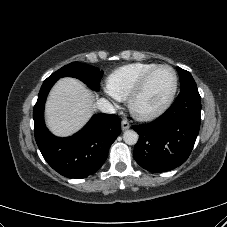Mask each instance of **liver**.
I'll return each mask as SVG.
<instances>
[{
    "label": "liver",
    "instance_id": "6515ba94",
    "mask_svg": "<svg viewBox=\"0 0 227 227\" xmlns=\"http://www.w3.org/2000/svg\"><path fill=\"white\" fill-rule=\"evenodd\" d=\"M95 96L74 78H62L52 88L45 107L46 124L57 136L78 131L93 113Z\"/></svg>",
    "mask_w": 227,
    "mask_h": 227
}]
</instances>
